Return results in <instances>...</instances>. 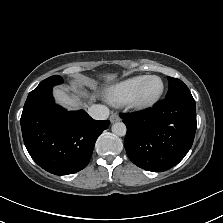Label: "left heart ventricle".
I'll return each instance as SVG.
<instances>
[{
  "instance_id": "1",
  "label": "left heart ventricle",
  "mask_w": 223,
  "mask_h": 223,
  "mask_svg": "<svg viewBox=\"0 0 223 223\" xmlns=\"http://www.w3.org/2000/svg\"><path fill=\"white\" fill-rule=\"evenodd\" d=\"M160 88V81L156 78L149 79L145 81L140 90L139 99L140 100H149L152 98Z\"/></svg>"
}]
</instances>
